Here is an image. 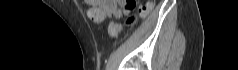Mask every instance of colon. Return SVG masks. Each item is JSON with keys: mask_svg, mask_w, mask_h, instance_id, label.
<instances>
[{"mask_svg": "<svg viewBox=\"0 0 238 70\" xmlns=\"http://www.w3.org/2000/svg\"><path fill=\"white\" fill-rule=\"evenodd\" d=\"M125 6L128 10H136L138 7V2L135 0H126ZM150 4H148L146 7H140L138 9V12L142 15H146L149 12ZM137 15L136 14H130L124 21V27L126 29H132L136 23H137ZM121 30V27L119 25V21H110V25L107 28V31L110 33L111 36L116 37Z\"/></svg>", "mask_w": 238, "mask_h": 70, "instance_id": "obj_1", "label": "colon"}]
</instances>
